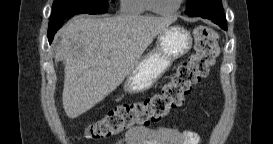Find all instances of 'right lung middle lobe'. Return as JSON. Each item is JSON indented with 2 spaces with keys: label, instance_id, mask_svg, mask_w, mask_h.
<instances>
[{
  "label": "right lung middle lobe",
  "instance_id": "dd1d6c3e",
  "mask_svg": "<svg viewBox=\"0 0 273 144\" xmlns=\"http://www.w3.org/2000/svg\"><path fill=\"white\" fill-rule=\"evenodd\" d=\"M108 10V0H54L48 36L55 34L66 18L74 14H103Z\"/></svg>",
  "mask_w": 273,
  "mask_h": 144
}]
</instances>
